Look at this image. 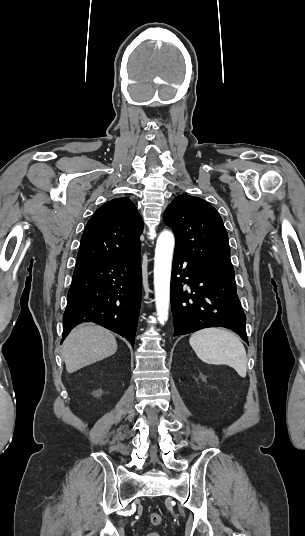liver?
I'll list each match as a JSON object with an SVG mask.
<instances>
[{
    "label": "liver",
    "instance_id": "1",
    "mask_svg": "<svg viewBox=\"0 0 305 536\" xmlns=\"http://www.w3.org/2000/svg\"><path fill=\"white\" fill-rule=\"evenodd\" d=\"M115 352V336L109 330L91 324L76 326L62 346V358L68 374L109 358Z\"/></svg>",
    "mask_w": 305,
    "mask_h": 536
}]
</instances>
